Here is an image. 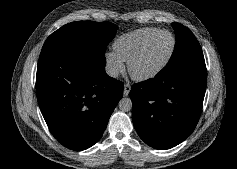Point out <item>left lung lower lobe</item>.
I'll return each mask as SVG.
<instances>
[{
  "label": "left lung lower lobe",
  "mask_w": 237,
  "mask_h": 169,
  "mask_svg": "<svg viewBox=\"0 0 237 169\" xmlns=\"http://www.w3.org/2000/svg\"><path fill=\"white\" fill-rule=\"evenodd\" d=\"M206 79L205 62H193L134 84L132 119L141 139L161 150L184 141L198 123Z\"/></svg>",
  "instance_id": "1"
}]
</instances>
